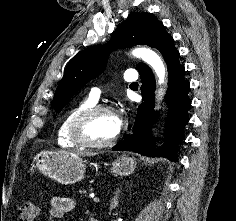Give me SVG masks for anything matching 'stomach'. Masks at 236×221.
<instances>
[{
	"label": "stomach",
	"mask_w": 236,
	"mask_h": 221,
	"mask_svg": "<svg viewBox=\"0 0 236 221\" xmlns=\"http://www.w3.org/2000/svg\"><path fill=\"white\" fill-rule=\"evenodd\" d=\"M34 163L42 174L65 185L82 180L86 171L85 161L75 153L41 152L34 158ZM135 168L136 160L123 155L112 162L111 172L128 176Z\"/></svg>",
	"instance_id": "stomach-1"
}]
</instances>
